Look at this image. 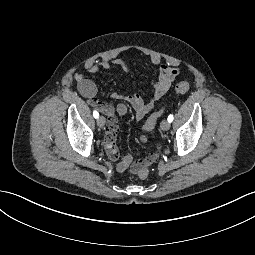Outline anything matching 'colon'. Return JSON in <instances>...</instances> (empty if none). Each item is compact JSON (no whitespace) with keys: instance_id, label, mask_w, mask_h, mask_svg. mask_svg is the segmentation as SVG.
<instances>
[{"instance_id":"obj_1","label":"colon","mask_w":255,"mask_h":255,"mask_svg":"<svg viewBox=\"0 0 255 255\" xmlns=\"http://www.w3.org/2000/svg\"><path fill=\"white\" fill-rule=\"evenodd\" d=\"M189 89H190V85L187 81H181L175 85V92L177 94H185L189 91ZM163 112H164V106H162L160 109L152 113L150 117L146 120V122L144 123L142 128L143 131L146 133L151 132L155 128V125L158 119L163 114ZM148 175H149V170L147 167H142L138 170V177L140 179L144 180L148 177Z\"/></svg>"}]
</instances>
